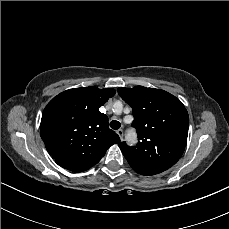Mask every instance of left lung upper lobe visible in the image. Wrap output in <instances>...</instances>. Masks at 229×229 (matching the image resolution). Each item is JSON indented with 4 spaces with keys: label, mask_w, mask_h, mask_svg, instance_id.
<instances>
[{
    "label": "left lung upper lobe",
    "mask_w": 229,
    "mask_h": 229,
    "mask_svg": "<svg viewBox=\"0 0 229 229\" xmlns=\"http://www.w3.org/2000/svg\"><path fill=\"white\" fill-rule=\"evenodd\" d=\"M120 97L133 110L132 126L138 144L119 147L133 170L155 175L173 166L182 156L188 136L189 116L182 102L172 94L155 88H118Z\"/></svg>",
    "instance_id": "obj_1"
}]
</instances>
